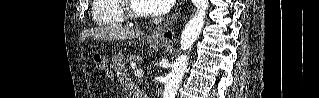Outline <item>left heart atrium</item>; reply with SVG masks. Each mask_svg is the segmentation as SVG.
I'll return each instance as SVG.
<instances>
[{
    "label": "left heart atrium",
    "mask_w": 319,
    "mask_h": 98,
    "mask_svg": "<svg viewBox=\"0 0 319 98\" xmlns=\"http://www.w3.org/2000/svg\"><path fill=\"white\" fill-rule=\"evenodd\" d=\"M141 3L145 11L154 15H162L171 9L174 0H141Z\"/></svg>",
    "instance_id": "39dd6f15"
}]
</instances>
